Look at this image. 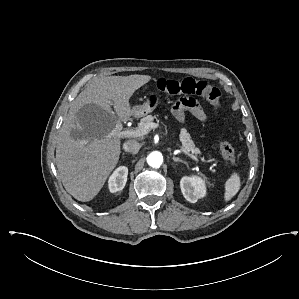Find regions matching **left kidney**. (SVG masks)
Wrapping results in <instances>:
<instances>
[{
	"label": "left kidney",
	"mask_w": 299,
	"mask_h": 299,
	"mask_svg": "<svg viewBox=\"0 0 299 299\" xmlns=\"http://www.w3.org/2000/svg\"><path fill=\"white\" fill-rule=\"evenodd\" d=\"M180 188L184 198L191 203H196L206 195L205 180L199 176L183 177Z\"/></svg>",
	"instance_id": "1"
}]
</instances>
